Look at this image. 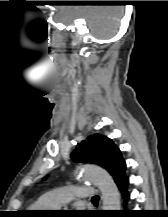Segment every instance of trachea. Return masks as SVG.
<instances>
[{"label":"trachea","instance_id":"trachea-1","mask_svg":"<svg viewBox=\"0 0 168 217\" xmlns=\"http://www.w3.org/2000/svg\"><path fill=\"white\" fill-rule=\"evenodd\" d=\"M99 200V196H94L93 198H92V201H98Z\"/></svg>","mask_w":168,"mask_h":217}]
</instances>
